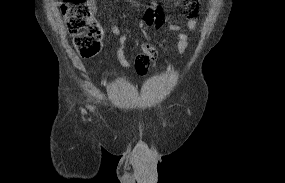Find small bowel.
<instances>
[{"label": "small bowel", "mask_w": 285, "mask_h": 183, "mask_svg": "<svg viewBox=\"0 0 285 183\" xmlns=\"http://www.w3.org/2000/svg\"><path fill=\"white\" fill-rule=\"evenodd\" d=\"M189 7L186 11V28L188 31L193 32L198 25V9L195 2H188ZM89 9L95 14L96 5L94 0H89ZM144 21L147 26L158 29L163 25L164 14L161 11L159 5L156 3L150 7V9L144 15ZM112 32L119 38V47L117 49V59L123 67H130V62L125 54V45L128 41V36L121 32L120 28L113 24ZM169 29L176 33L177 39V51L183 54L188 47V34L183 30L182 26L178 24H170ZM158 53L156 48L149 43H143L140 46V53L136 58L135 65L137 63H145L148 67L154 63L157 59Z\"/></svg>", "instance_id": "1"}]
</instances>
